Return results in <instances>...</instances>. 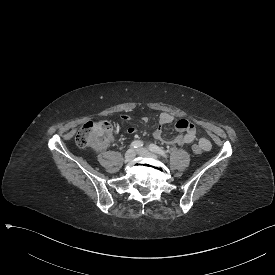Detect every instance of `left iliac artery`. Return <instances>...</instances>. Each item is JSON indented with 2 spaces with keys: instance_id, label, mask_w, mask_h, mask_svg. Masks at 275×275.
<instances>
[{
  "instance_id": "left-iliac-artery-1",
  "label": "left iliac artery",
  "mask_w": 275,
  "mask_h": 275,
  "mask_svg": "<svg viewBox=\"0 0 275 275\" xmlns=\"http://www.w3.org/2000/svg\"><path fill=\"white\" fill-rule=\"evenodd\" d=\"M149 150L154 152V153L159 154L163 158H168V154L166 153V151H164L162 148L158 147L155 144H150L149 145Z\"/></svg>"
}]
</instances>
